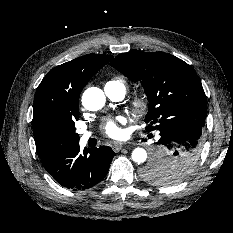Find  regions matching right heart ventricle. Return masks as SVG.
<instances>
[{"instance_id": "right-heart-ventricle-1", "label": "right heart ventricle", "mask_w": 233, "mask_h": 233, "mask_svg": "<svg viewBox=\"0 0 233 233\" xmlns=\"http://www.w3.org/2000/svg\"><path fill=\"white\" fill-rule=\"evenodd\" d=\"M127 87L126 81L121 77H113L108 80L105 84V88L110 90H123L125 91Z\"/></svg>"}]
</instances>
